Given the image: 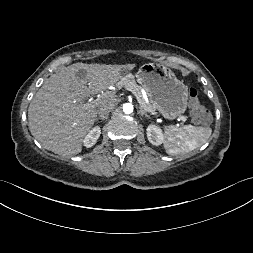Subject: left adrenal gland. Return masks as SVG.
<instances>
[{
	"instance_id": "a2214340",
	"label": "left adrenal gland",
	"mask_w": 253,
	"mask_h": 253,
	"mask_svg": "<svg viewBox=\"0 0 253 253\" xmlns=\"http://www.w3.org/2000/svg\"><path fill=\"white\" fill-rule=\"evenodd\" d=\"M139 114L141 116L145 115V117H147L148 119H150V116L147 114V112L145 110H143V108L141 106L139 107Z\"/></svg>"
}]
</instances>
